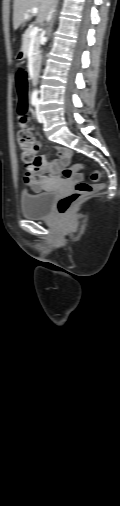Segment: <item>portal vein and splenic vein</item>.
<instances>
[{"instance_id":"1","label":"portal vein and splenic vein","mask_w":120,"mask_h":506,"mask_svg":"<svg viewBox=\"0 0 120 506\" xmlns=\"http://www.w3.org/2000/svg\"><path fill=\"white\" fill-rule=\"evenodd\" d=\"M32 13H38V8L37 7H34L31 9ZM39 31V28L38 27H34L31 32H30V36L34 37L37 35Z\"/></svg>"}]
</instances>
